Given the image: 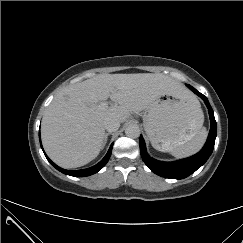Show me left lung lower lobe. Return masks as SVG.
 <instances>
[{
    "label": "left lung lower lobe",
    "mask_w": 243,
    "mask_h": 243,
    "mask_svg": "<svg viewBox=\"0 0 243 243\" xmlns=\"http://www.w3.org/2000/svg\"><path fill=\"white\" fill-rule=\"evenodd\" d=\"M187 86L195 94H197L199 97H201L204 100L210 115L211 128L208 135V139L204 147L201 149V151L195 154L194 156H191L186 159L178 160L175 162H162L151 158L147 154L145 142L142 136L140 137L139 140L141 157L145 162V164L152 172L165 178L183 179L188 177L192 173H194L210 157L215 144V139L217 134L216 121H215L213 110L208 102V99L192 86L190 85Z\"/></svg>",
    "instance_id": "1"
}]
</instances>
